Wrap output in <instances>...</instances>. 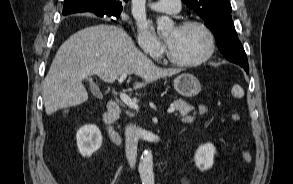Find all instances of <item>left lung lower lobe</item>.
<instances>
[{
    "mask_svg": "<svg viewBox=\"0 0 293 184\" xmlns=\"http://www.w3.org/2000/svg\"><path fill=\"white\" fill-rule=\"evenodd\" d=\"M231 62H234V63L240 65L241 67H243L245 69V71L247 73H249V66H248L247 57L246 58H240V59H237V60H233Z\"/></svg>",
    "mask_w": 293,
    "mask_h": 184,
    "instance_id": "0a47b994",
    "label": "left lung lower lobe"
}]
</instances>
